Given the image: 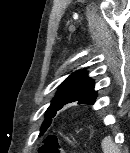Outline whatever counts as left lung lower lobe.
Instances as JSON below:
<instances>
[{"mask_svg": "<svg viewBox=\"0 0 130 153\" xmlns=\"http://www.w3.org/2000/svg\"><path fill=\"white\" fill-rule=\"evenodd\" d=\"M74 101H79V102H78L79 104H91V103H85L83 100H77V99L69 100V101L67 102V104H68V103H71V102H74Z\"/></svg>", "mask_w": 130, "mask_h": 153, "instance_id": "left-lung-lower-lobe-1", "label": "left lung lower lobe"}]
</instances>
